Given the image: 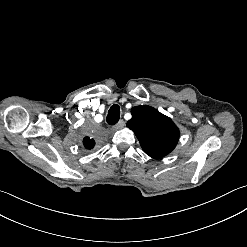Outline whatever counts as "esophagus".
Instances as JSON below:
<instances>
[{
  "mask_svg": "<svg viewBox=\"0 0 247 247\" xmlns=\"http://www.w3.org/2000/svg\"><path fill=\"white\" fill-rule=\"evenodd\" d=\"M124 125H125V122H124V120L122 119V120H120L117 124H115L114 128H115V129H120V128L124 127Z\"/></svg>",
  "mask_w": 247,
  "mask_h": 247,
  "instance_id": "1",
  "label": "esophagus"
}]
</instances>
